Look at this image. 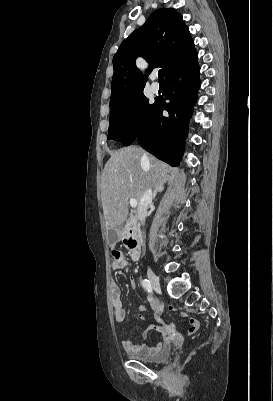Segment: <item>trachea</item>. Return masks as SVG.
<instances>
[{
  "label": "trachea",
  "mask_w": 273,
  "mask_h": 401,
  "mask_svg": "<svg viewBox=\"0 0 273 401\" xmlns=\"http://www.w3.org/2000/svg\"><path fill=\"white\" fill-rule=\"evenodd\" d=\"M158 78H159V81H164V75H163L162 70H159V72H158Z\"/></svg>",
  "instance_id": "obj_1"
}]
</instances>
